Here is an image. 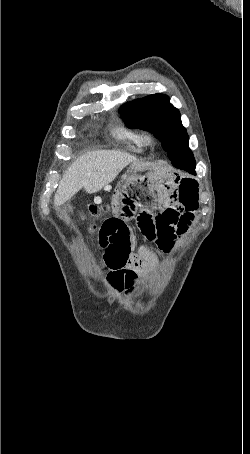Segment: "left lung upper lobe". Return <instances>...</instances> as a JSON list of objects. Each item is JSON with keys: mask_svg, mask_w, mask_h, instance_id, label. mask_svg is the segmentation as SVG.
I'll use <instances>...</instances> for the list:
<instances>
[{"mask_svg": "<svg viewBox=\"0 0 250 454\" xmlns=\"http://www.w3.org/2000/svg\"><path fill=\"white\" fill-rule=\"evenodd\" d=\"M169 101L164 94H152L122 105L119 113L129 128L153 133L162 142L168 157L192 154L180 112Z\"/></svg>", "mask_w": 250, "mask_h": 454, "instance_id": "5c2ea615", "label": "left lung upper lobe"}]
</instances>
